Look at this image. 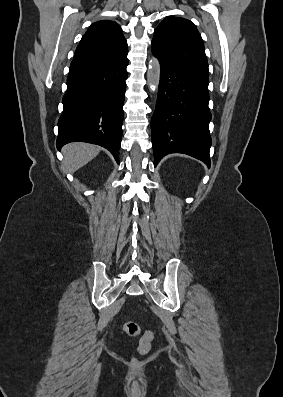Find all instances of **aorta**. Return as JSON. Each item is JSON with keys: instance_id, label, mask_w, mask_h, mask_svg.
I'll use <instances>...</instances> for the list:
<instances>
[{"instance_id": "1", "label": "aorta", "mask_w": 283, "mask_h": 397, "mask_svg": "<svg viewBox=\"0 0 283 397\" xmlns=\"http://www.w3.org/2000/svg\"><path fill=\"white\" fill-rule=\"evenodd\" d=\"M160 82V63L157 58L152 57L147 71V85L151 92L158 90Z\"/></svg>"}]
</instances>
